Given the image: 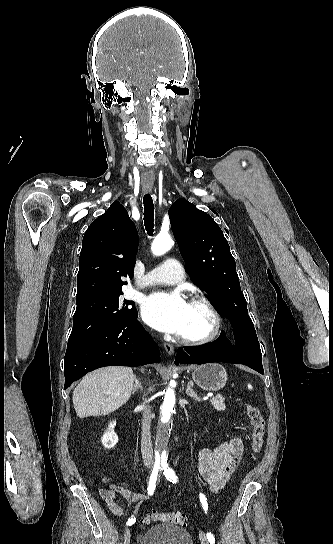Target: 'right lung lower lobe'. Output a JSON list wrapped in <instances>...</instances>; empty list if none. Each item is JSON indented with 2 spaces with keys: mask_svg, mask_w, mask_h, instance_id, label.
<instances>
[{
  "mask_svg": "<svg viewBox=\"0 0 333 544\" xmlns=\"http://www.w3.org/2000/svg\"><path fill=\"white\" fill-rule=\"evenodd\" d=\"M138 314L117 326L67 345L64 358L65 386L100 367L139 366L161 361L154 340L137 320Z\"/></svg>",
  "mask_w": 333,
  "mask_h": 544,
  "instance_id": "right-lung-lower-lobe-1",
  "label": "right lung lower lobe"
}]
</instances>
